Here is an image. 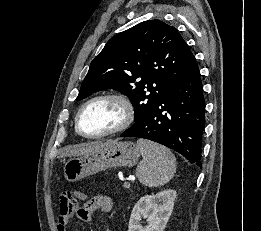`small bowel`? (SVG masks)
Returning a JSON list of instances; mask_svg holds the SVG:
<instances>
[{"mask_svg": "<svg viewBox=\"0 0 261 231\" xmlns=\"http://www.w3.org/2000/svg\"><path fill=\"white\" fill-rule=\"evenodd\" d=\"M80 198L85 199L86 195L84 193H80ZM112 209V200L108 196L104 195H96L92 198L88 199L82 207L77 210V217L83 222H89L93 213L100 211L103 213H108ZM69 218L58 216L57 219V229L58 231H66L65 226L68 222ZM110 231V230H106Z\"/></svg>", "mask_w": 261, "mask_h": 231, "instance_id": "small-bowel-1", "label": "small bowel"}]
</instances>
